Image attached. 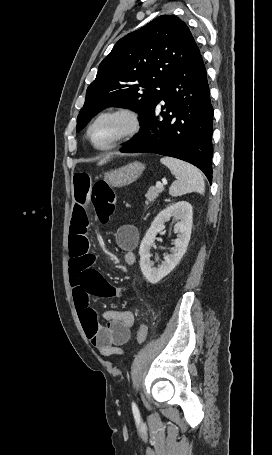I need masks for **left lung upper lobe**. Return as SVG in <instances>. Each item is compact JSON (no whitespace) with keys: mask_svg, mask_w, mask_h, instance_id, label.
<instances>
[{"mask_svg":"<svg viewBox=\"0 0 272 455\" xmlns=\"http://www.w3.org/2000/svg\"><path fill=\"white\" fill-rule=\"evenodd\" d=\"M199 55L189 28L173 15L159 16L121 38L87 88L76 131L111 106L137 112L141 123L160 101L171 75Z\"/></svg>","mask_w":272,"mask_h":455,"instance_id":"5c2ea615","label":"left lung upper lobe"}]
</instances>
